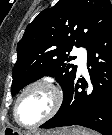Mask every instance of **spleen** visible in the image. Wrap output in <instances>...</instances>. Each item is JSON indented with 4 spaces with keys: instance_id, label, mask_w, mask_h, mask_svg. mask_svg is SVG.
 Masks as SVG:
<instances>
[{
    "instance_id": "1",
    "label": "spleen",
    "mask_w": 112,
    "mask_h": 135,
    "mask_svg": "<svg viewBox=\"0 0 112 135\" xmlns=\"http://www.w3.org/2000/svg\"><path fill=\"white\" fill-rule=\"evenodd\" d=\"M80 135H98L97 133H90L86 130H83Z\"/></svg>"
}]
</instances>
